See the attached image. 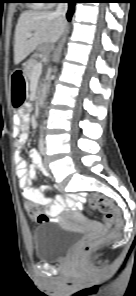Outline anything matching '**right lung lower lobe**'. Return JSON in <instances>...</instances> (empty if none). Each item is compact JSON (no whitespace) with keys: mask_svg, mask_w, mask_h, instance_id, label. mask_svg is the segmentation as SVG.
Masks as SVG:
<instances>
[{"mask_svg":"<svg viewBox=\"0 0 136 296\" xmlns=\"http://www.w3.org/2000/svg\"><path fill=\"white\" fill-rule=\"evenodd\" d=\"M64 1H66L67 3H69V9H68V13H67V18L70 21L71 20V17H72V14L74 12V4L76 2H78V0H64Z\"/></svg>","mask_w":136,"mask_h":296,"instance_id":"right-lung-lower-lobe-1","label":"right lung lower lobe"}]
</instances>
